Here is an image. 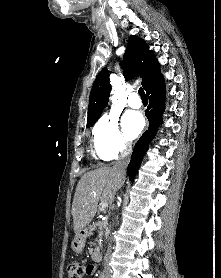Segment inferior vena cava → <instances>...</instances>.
<instances>
[{
    "label": "inferior vena cava",
    "instance_id": "602c4592",
    "mask_svg": "<svg viewBox=\"0 0 221 278\" xmlns=\"http://www.w3.org/2000/svg\"><path fill=\"white\" fill-rule=\"evenodd\" d=\"M130 154L131 150L130 149H125L121 152L120 158L116 162L114 169L117 171L118 175L120 177H125L126 173V168L129 164L130 161ZM112 246L109 244L107 254L105 256V262H104V271H110V266H109V258L111 254Z\"/></svg>",
    "mask_w": 221,
    "mask_h": 278
}]
</instances>
